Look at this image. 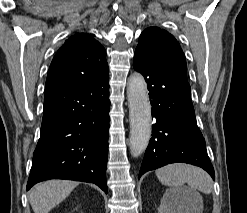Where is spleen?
<instances>
[{
    "instance_id": "spleen-1",
    "label": "spleen",
    "mask_w": 247,
    "mask_h": 213,
    "mask_svg": "<svg viewBox=\"0 0 247 213\" xmlns=\"http://www.w3.org/2000/svg\"><path fill=\"white\" fill-rule=\"evenodd\" d=\"M159 181L173 190L181 189L187 183L191 188L204 194L213 190V182L209 174L203 169L188 164H170L156 170Z\"/></svg>"
}]
</instances>
